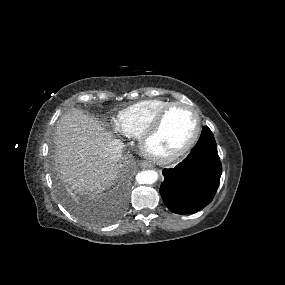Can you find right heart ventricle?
Listing matches in <instances>:
<instances>
[{
  "instance_id": "obj_1",
  "label": "right heart ventricle",
  "mask_w": 285,
  "mask_h": 285,
  "mask_svg": "<svg viewBox=\"0 0 285 285\" xmlns=\"http://www.w3.org/2000/svg\"><path fill=\"white\" fill-rule=\"evenodd\" d=\"M171 103L163 99L137 102L122 109L115 122L124 135L139 138L155 117Z\"/></svg>"
}]
</instances>
